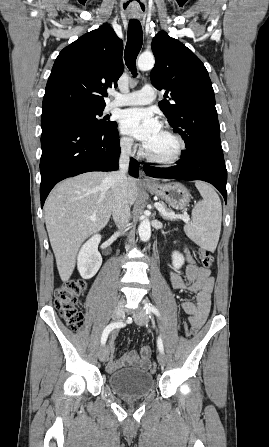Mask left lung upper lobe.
<instances>
[{
	"label": "left lung upper lobe",
	"instance_id": "1",
	"mask_svg": "<svg viewBox=\"0 0 269 447\" xmlns=\"http://www.w3.org/2000/svg\"><path fill=\"white\" fill-rule=\"evenodd\" d=\"M156 64L152 84L165 89L159 107L169 124L184 139L183 157L202 148H221L215 96L208 72L201 60L180 41L159 32L152 41ZM169 95V96H168Z\"/></svg>",
	"mask_w": 269,
	"mask_h": 447
}]
</instances>
